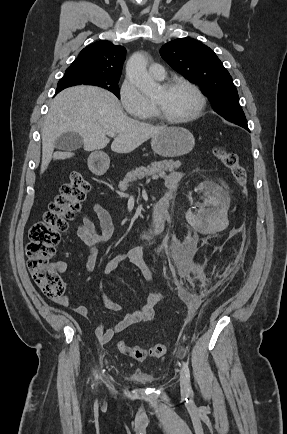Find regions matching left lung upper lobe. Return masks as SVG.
<instances>
[{"mask_svg":"<svg viewBox=\"0 0 287 434\" xmlns=\"http://www.w3.org/2000/svg\"><path fill=\"white\" fill-rule=\"evenodd\" d=\"M160 54L174 70L202 87L219 115L226 120L246 119L232 77L208 46L179 38L163 45Z\"/></svg>","mask_w":287,"mask_h":434,"instance_id":"5c2ea615","label":"left lung upper lobe"}]
</instances>
